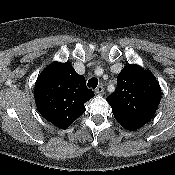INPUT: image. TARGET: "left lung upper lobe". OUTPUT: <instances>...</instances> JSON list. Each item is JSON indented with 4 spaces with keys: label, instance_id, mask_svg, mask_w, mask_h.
Listing matches in <instances>:
<instances>
[{
    "label": "left lung upper lobe",
    "instance_id": "obj_1",
    "mask_svg": "<svg viewBox=\"0 0 175 175\" xmlns=\"http://www.w3.org/2000/svg\"><path fill=\"white\" fill-rule=\"evenodd\" d=\"M161 88L155 76L136 64L126 65L117 77V87L106 100L120 124L142 127L155 114Z\"/></svg>",
    "mask_w": 175,
    "mask_h": 175
}]
</instances>
